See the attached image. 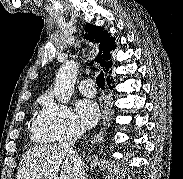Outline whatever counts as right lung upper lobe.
I'll list each match as a JSON object with an SVG mask.
<instances>
[{
	"instance_id": "right-lung-upper-lobe-1",
	"label": "right lung upper lobe",
	"mask_w": 183,
	"mask_h": 179,
	"mask_svg": "<svg viewBox=\"0 0 183 179\" xmlns=\"http://www.w3.org/2000/svg\"><path fill=\"white\" fill-rule=\"evenodd\" d=\"M85 31L88 32V36L90 42L99 43V54L96 61L100 63L105 72L112 71V60H111V50L116 48L115 38L110 37L107 31L103 30L102 27L95 26L92 24H86ZM90 64H93L91 62ZM109 77H107V81H109Z\"/></svg>"
}]
</instances>
